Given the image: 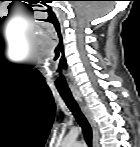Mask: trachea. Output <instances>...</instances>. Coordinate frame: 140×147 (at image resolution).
<instances>
[{
    "instance_id": "obj_1",
    "label": "trachea",
    "mask_w": 140,
    "mask_h": 147,
    "mask_svg": "<svg viewBox=\"0 0 140 147\" xmlns=\"http://www.w3.org/2000/svg\"><path fill=\"white\" fill-rule=\"evenodd\" d=\"M61 97L65 101L66 105L76 118L77 122L82 128L83 135L89 147H92V129L91 126L81 111L79 105L77 104L76 100L74 99L73 95L70 93H60Z\"/></svg>"
}]
</instances>
